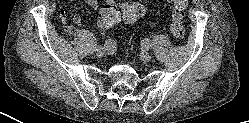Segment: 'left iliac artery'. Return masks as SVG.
<instances>
[{
  "mask_svg": "<svg viewBox=\"0 0 249 123\" xmlns=\"http://www.w3.org/2000/svg\"><path fill=\"white\" fill-rule=\"evenodd\" d=\"M142 44H143V47L146 48V49H150L152 47V44L148 39L143 41Z\"/></svg>",
  "mask_w": 249,
  "mask_h": 123,
  "instance_id": "obj_1",
  "label": "left iliac artery"
}]
</instances>
